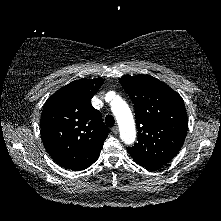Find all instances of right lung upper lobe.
<instances>
[{"instance_id":"obj_1","label":"right lung upper lobe","mask_w":221,"mask_h":221,"mask_svg":"<svg viewBox=\"0 0 221 221\" xmlns=\"http://www.w3.org/2000/svg\"><path fill=\"white\" fill-rule=\"evenodd\" d=\"M102 78L79 79L59 89L46 101L41 114L45 149L56 163L75 171L91 166L110 132L91 98Z\"/></svg>"}]
</instances>
